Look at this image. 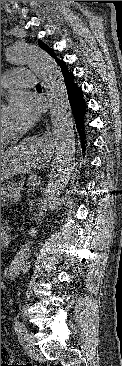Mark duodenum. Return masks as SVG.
<instances>
[{
  "instance_id": "obj_1",
  "label": "duodenum",
  "mask_w": 122,
  "mask_h": 366,
  "mask_svg": "<svg viewBox=\"0 0 122 366\" xmlns=\"http://www.w3.org/2000/svg\"><path fill=\"white\" fill-rule=\"evenodd\" d=\"M10 242V237L6 233H1V243L7 244Z\"/></svg>"
}]
</instances>
